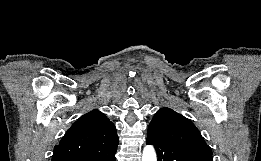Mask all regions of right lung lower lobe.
<instances>
[{"label": "right lung lower lobe", "mask_w": 261, "mask_h": 161, "mask_svg": "<svg viewBox=\"0 0 261 161\" xmlns=\"http://www.w3.org/2000/svg\"><path fill=\"white\" fill-rule=\"evenodd\" d=\"M118 145V144H117ZM117 145L102 152L91 153L71 158L66 161H115Z\"/></svg>", "instance_id": "1"}]
</instances>
